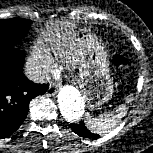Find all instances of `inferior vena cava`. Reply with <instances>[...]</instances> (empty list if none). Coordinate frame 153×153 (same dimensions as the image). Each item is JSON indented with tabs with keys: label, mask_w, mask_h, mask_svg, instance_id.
Listing matches in <instances>:
<instances>
[{
	"label": "inferior vena cava",
	"mask_w": 153,
	"mask_h": 153,
	"mask_svg": "<svg viewBox=\"0 0 153 153\" xmlns=\"http://www.w3.org/2000/svg\"><path fill=\"white\" fill-rule=\"evenodd\" d=\"M27 78L35 83H45L49 81V74L40 68L27 65L25 69Z\"/></svg>",
	"instance_id": "602c4592"
}]
</instances>
